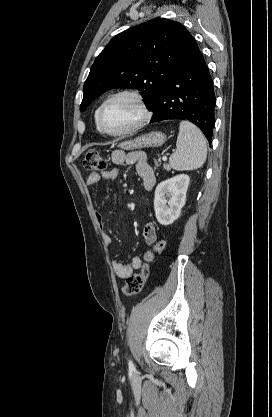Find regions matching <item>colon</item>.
Wrapping results in <instances>:
<instances>
[{
	"mask_svg": "<svg viewBox=\"0 0 272 417\" xmlns=\"http://www.w3.org/2000/svg\"><path fill=\"white\" fill-rule=\"evenodd\" d=\"M83 166L86 170L104 171L107 167L106 161L96 150H88L83 159ZM166 247V241L160 240L154 243L150 251L153 254H160ZM149 275V265L144 263L139 273L129 276L122 287V293L125 297H130L141 292Z\"/></svg>",
	"mask_w": 272,
	"mask_h": 417,
	"instance_id": "5ec220e1",
	"label": "colon"
}]
</instances>
